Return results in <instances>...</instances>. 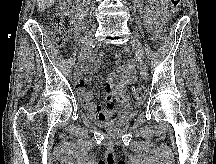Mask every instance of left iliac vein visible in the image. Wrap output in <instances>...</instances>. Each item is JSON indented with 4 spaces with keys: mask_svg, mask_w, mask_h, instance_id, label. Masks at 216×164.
Listing matches in <instances>:
<instances>
[{
    "mask_svg": "<svg viewBox=\"0 0 216 164\" xmlns=\"http://www.w3.org/2000/svg\"><path fill=\"white\" fill-rule=\"evenodd\" d=\"M131 44L132 47L134 49V51L136 52V54L139 57V68L140 70H145L146 68V64L144 62V48L141 44V42L135 37V36H131Z\"/></svg>",
    "mask_w": 216,
    "mask_h": 164,
    "instance_id": "1",
    "label": "left iliac vein"
}]
</instances>
